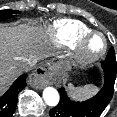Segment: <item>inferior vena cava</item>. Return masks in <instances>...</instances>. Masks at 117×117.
Here are the masks:
<instances>
[{
    "instance_id": "obj_1",
    "label": "inferior vena cava",
    "mask_w": 117,
    "mask_h": 117,
    "mask_svg": "<svg viewBox=\"0 0 117 117\" xmlns=\"http://www.w3.org/2000/svg\"><path fill=\"white\" fill-rule=\"evenodd\" d=\"M37 61H29L27 63H23L20 65V71L21 72H26L31 69L36 64Z\"/></svg>"
}]
</instances>
